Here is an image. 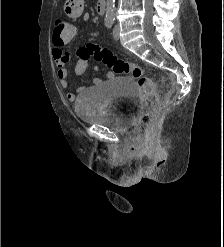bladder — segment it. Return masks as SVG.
Returning a JSON list of instances; mask_svg holds the SVG:
<instances>
[{
	"label": "bladder",
	"instance_id": "1",
	"mask_svg": "<svg viewBox=\"0 0 224 247\" xmlns=\"http://www.w3.org/2000/svg\"><path fill=\"white\" fill-rule=\"evenodd\" d=\"M138 107L135 82L129 77H113L85 88L75 102L74 112L85 124L124 133L132 127Z\"/></svg>",
	"mask_w": 224,
	"mask_h": 247
}]
</instances>
